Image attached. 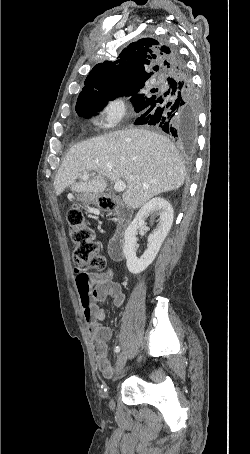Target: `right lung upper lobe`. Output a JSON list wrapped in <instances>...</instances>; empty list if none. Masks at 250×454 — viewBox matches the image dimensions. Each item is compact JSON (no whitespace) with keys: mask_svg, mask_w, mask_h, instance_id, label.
<instances>
[{"mask_svg":"<svg viewBox=\"0 0 250 454\" xmlns=\"http://www.w3.org/2000/svg\"><path fill=\"white\" fill-rule=\"evenodd\" d=\"M168 47L155 39L144 38L124 48L116 61H104L89 72L77 103L99 102L143 85L153 75L164 78L170 65ZM152 68V72H147Z\"/></svg>","mask_w":250,"mask_h":454,"instance_id":"cb5924a9","label":"right lung upper lobe"}]
</instances>
